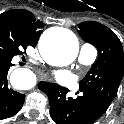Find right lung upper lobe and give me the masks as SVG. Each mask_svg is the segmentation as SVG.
Returning a JSON list of instances; mask_svg holds the SVG:
<instances>
[{"mask_svg":"<svg viewBox=\"0 0 124 124\" xmlns=\"http://www.w3.org/2000/svg\"><path fill=\"white\" fill-rule=\"evenodd\" d=\"M4 19L17 27L28 39L32 47L37 45L42 33L43 23L37 20L34 15L24 9H12L0 15Z\"/></svg>","mask_w":124,"mask_h":124,"instance_id":"obj_1","label":"right lung upper lobe"}]
</instances>
